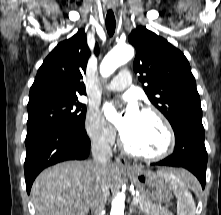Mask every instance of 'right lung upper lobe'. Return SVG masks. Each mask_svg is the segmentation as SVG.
<instances>
[{
  "label": "right lung upper lobe",
  "instance_id": "obj_1",
  "mask_svg": "<svg viewBox=\"0 0 221 215\" xmlns=\"http://www.w3.org/2000/svg\"><path fill=\"white\" fill-rule=\"evenodd\" d=\"M94 51L98 54L97 45ZM90 54L83 30L60 42L39 68L30 89L28 105L75 99L85 94L82 79Z\"/></svg>",
  "mask_w": 221,
  "mask_h": 215
}]
</instances>
